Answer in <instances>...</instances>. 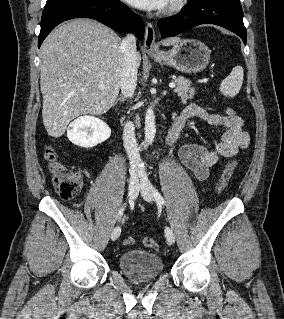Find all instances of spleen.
Returning <instances> with one entry per match:
<instances>
[{
  "instance_id": "spleen-1",
  "label": "spleen",
  "mask_w": 284,
  "mask_h": 319,
  "mask_svg": "<svg viewBox=\"0 0 284 319\" xmlns=\"http://www.w3.org/2000/svg\"><path fill=\"white\" fill-rule=\"evenodd\" d=\"M243 68L239 65L235 66L231 73L222 81L220 91L224 96L234 97L240 91L243 83Z\"/></svg>"
}]
</instances>
